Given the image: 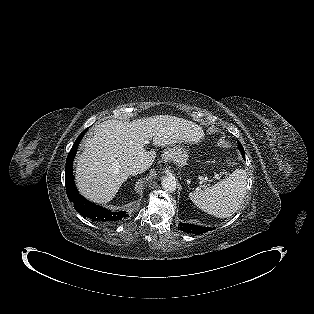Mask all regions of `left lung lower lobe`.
<instances>
[{
  "mask_svg": "<svg viewBox=\"0 0 314 314\" xmlns=\"http://www.w3.org/2000/svg\"><path fill=\"white\" fill-rule=\"evenodd\" d=\"M243 158L245 159V153L244 152H241ZM182 231H185L187 233H193V234H202V233H205L207 231H211L213 230L214 228H203V227H200V226H196V225H192V224H186V223H180L179 226H178Z\"/></svg>",
  "mask_w": 314,
  "mask_h": 314,
  "instance_id": "0a47b994",
  "label": "left lung lower lobe"
}]
</instances>
